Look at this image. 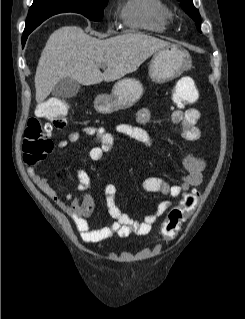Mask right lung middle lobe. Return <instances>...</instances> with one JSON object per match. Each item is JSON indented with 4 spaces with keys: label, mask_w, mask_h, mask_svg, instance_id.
<instances>
[{
    "label": "right lung middle lobe",
    "mask_w": 245,
    "mask_h": 319,
    "mask_svg": "<svg viewBox=\"0 0 245 319\" xmlns=\"http://www.w3.org/2000/svg\"><path fill=\"white\" fill-rule=\"evenodd\" d=\"M108 0H70L64 1L66 12L80 13L87 18L99 21L103 17L104 6Z\"/></svg>",
    "instance_id": "obj_1"
}]
</instances>
